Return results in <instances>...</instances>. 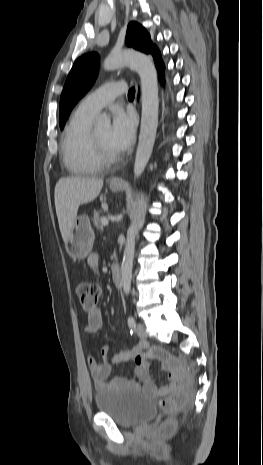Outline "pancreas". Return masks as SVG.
<instances>
[{
  "mask_svg": "<svg viewBox=\"0 0 263 465\" xmlns=\"http://www.w3.org/2000/svg\"><path fill=\"white\" fill-rule=\"evenodd\" d=\"M101 215H100V211H97V212H94L93 213V224L95 226V228L97 229H102V223H101Z\"/></svg>",
  "mask_w": 263,
  "mask_h": 465,
  "instance_id": "cf45deb5",
  "label": "pancreas"
}]
</instances>
